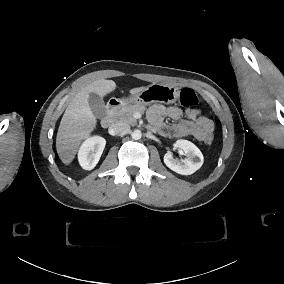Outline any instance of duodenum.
<instances>
[{"instance_id":"obj_1","label":"duodenum","mask_w":284,"mask_h":284,"mask_svg":"<svg viewBox=\"0 0 284 284\" xmlns=\"http://www.w3.org/2000/svg\"><path fill=\"white\" fill-rule=\"evenodd\" d=\"M126 102V99H112L108 102L106 112L100 117V125L108 128L112 122L115 112Z\"/></svg>"}]
</instances>
